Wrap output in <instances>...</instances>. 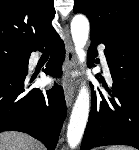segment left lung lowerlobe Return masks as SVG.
<instances>
[{"mask_svg": "<svg viewBox=\"0 0 139 150\" xmlns=\"http://www.w3.org/2000/svg\"><path fill=\"white\" fill-rule=\"evenodd\" d=\"M90 38L89 64L94 66L95 46L103 42L93 34ZM104 53L113 80L112 90L107 88L110 97L100 90H92L91 111L81 150L117 144L139 149V32L111 46L105 45ZM95 77L103 83L104 78L98 74Z\"/></svg>", "mask_w": 139, "mask_h": 150, "instance_id": "1", "label": "left lung lower lobe"}]
</instances>
